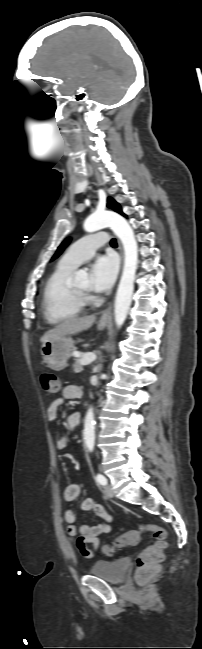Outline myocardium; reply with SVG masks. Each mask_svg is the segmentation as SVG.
I'll use <instances>...</instances> for the list:
<instances>
[{"mask_svg":"<svg viewBox=\"0 0 202 649\" xmlns=\"http://www.w3.org/2000/svg\"><path fill=\"white\" fill-rule=\"evenodd\" d=\"M71 290H72V293H73L74 297L76 298V300L80 304L86 305V304H88V303H90L92 301L91 296H90V292L80 290L79 288L76 287V285L74 283L71 284Z\"/></svg>","mask_w":202,"mask_h":649,"instance_id":"1","label":"myocardium"}]
</instances>
